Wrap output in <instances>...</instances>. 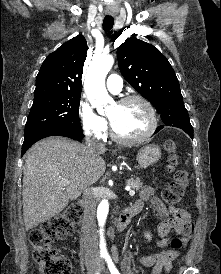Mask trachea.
<instances>
[{
  "label": "trachea",
  "mask_w": 221,
  "mask_h": 274,
  "mask_svg": "<svg viewBox=\"0 0 221 274\" xmlns=\"http://www.w3.org/2000/svg\"><path fill=\"white\" fill-rule=\"evenodd\" d=\"M114 24V18L112 16H105L103 20V30L104 31H109L112 29Z\"/></svg>",
  "instance_id": "trachea-1"
}]
</instances>
